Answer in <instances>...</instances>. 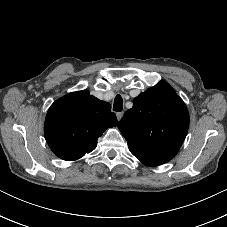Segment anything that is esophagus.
Instances as JSON below:
<instances>
[{"instance_id": "esophagus-1", "label": "esophagus", "mask_w": 227, "mask_h": 227, "mask_svg": "<svg viewBox=\"0 0 227 227\" xmlns=\"http://www.w3.org/2000/svg\"><path fill=\"white\" fill-rule=\"evenodd\" d=\"M123 114H124L123 112H117L116 113L118 121L121 120V118L123 117Z\"/></svg>"}]
</instances>
